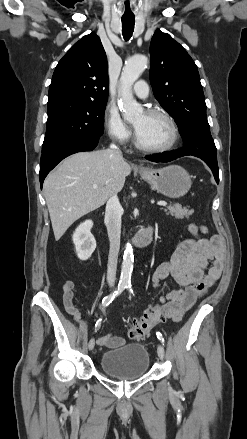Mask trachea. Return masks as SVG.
<instances>
[{"instance_id":"obj_1","label":"trachea","mask_w":247,"mask_h":439,"mask_svg":"<svg viewBox=\"0 0 247 439\" xmlns=\"http://www.w3.org/2000/svg\"><path fill=\"white\" fill-rule=\"evenodd\" d=\"M134 24V16L122 17V34L126 41L129 40L132 36V33L134 31Z\"/></svg>"}]
</instances>
